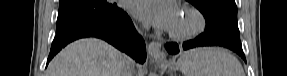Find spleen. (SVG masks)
<instances>
[{"mask_svg": "<svg viewBox=\"0 0 287 76\" xmlns=\"http://www.w3.org/2000/svg\"><path fill=\"white\" fill-rule=\"evenodd\" d=\"M178 63L184 76H245L238 59L220 47L190 49Z\"/></svg>", "mask_w": 287, "mask_h": 76, "instance_id": "obj_1", "label": "spleen"}]
</instances>
